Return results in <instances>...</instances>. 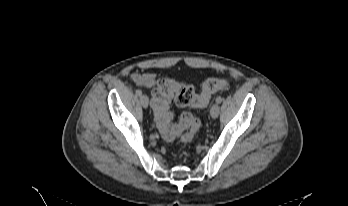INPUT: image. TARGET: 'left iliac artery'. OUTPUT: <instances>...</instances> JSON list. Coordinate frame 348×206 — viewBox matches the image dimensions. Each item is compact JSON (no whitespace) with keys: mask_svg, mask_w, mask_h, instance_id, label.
Segmentation results:
<instances>
[{"mask_svg":"<svg viewBox=\"0 0 348 206\" xmlns=\"http://www.w3.org/2000/svg\"><path fill=\"white\" fill-rule=\"evenodd\" d=\"M222 100H223V99H222V97H221V96H219V97H217V98H216V102H217V103H221V102H222Z\"/></svg>","mask_w":348,"mask_h":206,"instance_id":"left-iliac-artery-1","label":"left iliac artery"}]
</instances>
